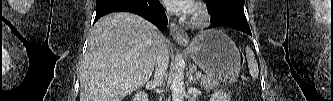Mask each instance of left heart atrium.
<instances>
[{
    "label": "left heart atrium",
    "mask_w": 333,
    "mask_h": 101,
    "mask_svg": "<svg viewBox=\"0 0 333 101\" xmlns=\"http://www.w3.org/2000/svg\"><path fill=\"white\" fill-rule=\"evenodd\" d=\"M166 8L174 13H191L193 10V2L191 0H166Z\"/></svg>",
    "instance_id": "obj_1"
}]
</instances>
